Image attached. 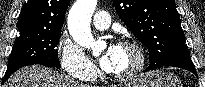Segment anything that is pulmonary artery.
<instances>
[{
	"mask_svg": "<svg viewBox=\"0 0 205 87\" xmlns=\"http://www.w3.org/2000/svg\"><path fill=\"white\" fill-rule=\"evenodd\" d=\"M93 26L99 30H105L110 27L111 17L106 11H98L93 17Z\"/></svg>",
	"mask_w": 205,
	"mask_h": 87,
	"instance_id": "pulmonary-artery-1",
	"label": "pulmonary artery"
}]
</instances>
